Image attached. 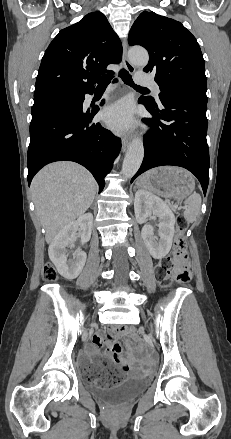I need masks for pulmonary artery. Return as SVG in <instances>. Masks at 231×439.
<instances>
[{
  "label": "pulmonary artery",
  "mask_w": 231,
  "mask_h": 439,
  "mask_svg": "<svg viewBox=\"0 0 231 439\" xmlns=\"http://www.w3.org/2000/svg\"><path fill=\"white\" fill-rule=\"evenodd\" d=\"M135 80L140 85L151 87L155 95L158 97L160 92L159 85L154 81V79L150 75L143 72H137L135 74Z\"/></svg>",
  "instance_id": "e3ab8cb5"
}]
</instances>
